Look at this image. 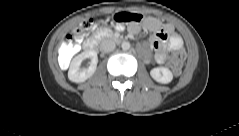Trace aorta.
Returning <instances> with one entry per match:
<instances>
[{"mask_svg": "<svg viewBox=\"0 0 239 136\" xmlns=\"http://www.w3.org/2000/svg\"><path fill=\"white\" fill-rule=\"evenodd\" d=\"M123 50H128L130 48V43L129 42H123L121 45Z\"/></svg>", "mask_w": 239, "mask_h": 136, "instance_id": "obj_1", "label": "aorta"}]
</instances>
